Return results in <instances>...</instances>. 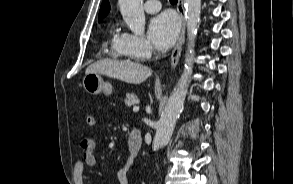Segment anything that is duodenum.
Returning <instances> with one entry per match:
<instances>
[{
    "instance_id": "obj_1",
    "label": "duodenum",
    "mask_w": 293,
    "mask_h": 184,
    "mask_svg": "<svg viewBox=\"0 0 293 184\" xmlns=\"http://www.w3.org/2000/svg\"><path fill=\"white\" fill-rule=\"evenodd\" d=\"M129 156L135 157L142 146V135L139 129H133L128 137Z\"/></svg>"
}]
</instances>
